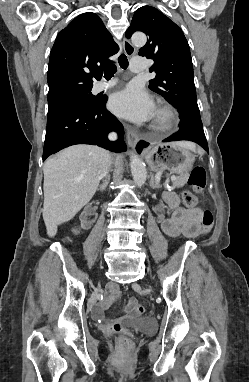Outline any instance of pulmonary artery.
<instances>
[{
    "mask_svg": "<svg viewBox=\"0 0 249 382\" xmlns=\"http://www.w3.org/2000/svg\"><path fill=\"white\" fill-rule=\"evenodd\" d=\"M147 68L146 60L142 57H134L130 61V69L134 72L143 71ZM115 84L114 80L111 81H101L97 84L98 90H103L112 87Z\"/></svg>",
    "mask_w": 249,
    "mask_h": 382,
    "instance_id": "1",
    "label": "pulmonary artery"
}]
</instances>
